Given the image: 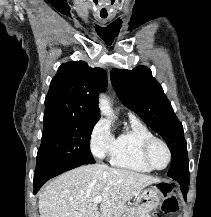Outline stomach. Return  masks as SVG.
<instances>
[{
  "label": "stomach",
  "mask_w": 211,
  "mask_h": 217,
  "mask_svg": "<svg viewBox=\"0 0 211 217\" xmlns=\"http://www.w3.org/2000/svg\"><path fill=\"white\" fill-rule=\"evenodd\" d=\"M162 198V192L157 185L142 190L133 206L134 217H150V213L161 204Z\"/></svg>",
  "instance_id": "stomach-1"
}]
</instances>
